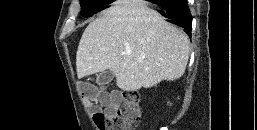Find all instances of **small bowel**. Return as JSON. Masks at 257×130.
Segmentation results:
<instances>
[{
	"label": "small bowel",
	"mask_w": 257,
	"mask_h": 130,
	"mask_svg": "<svg viewBox=\"0 0 257 130\" xmlns=\"http://www.w3.org/2000/svg\"><path fill=\"white\" fill-rule=\"evenodd\" d=\"M119 102L120 97L116 93L98 91L92 98L83 97V103L90 111H100L103 108L104 112H110Z\"/></svg>",
	"instance_id": "c3829d8e"
}]
</instances>
